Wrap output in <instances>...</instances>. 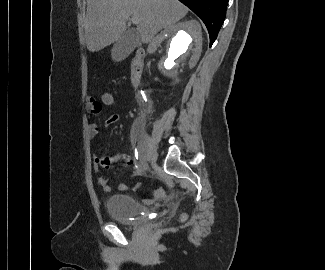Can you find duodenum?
I'll list each match as a JSON object with an SVG mask.
<instances>
[{
  "label": "duodenum",
  "instance_id": "duodenum-1",
  "mask_svg": "<svg viewBox=\"0 0 325 270\" xmlns=\"http://www.w3.org/2000/svg\"><path fill=\"white\" fill-rule=\"evenodd\" d=\"M145 51L138 48L131 62V82L134 86H138L144 71Z\"/></svg>",
  "mask_w": 325,
  "mask_h": 270
}]
</instances>
